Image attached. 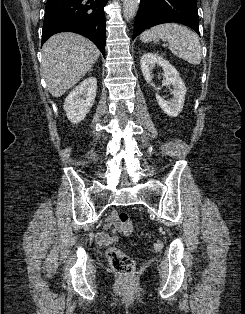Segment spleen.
Here are the masks:
<instances>
[{"instance_id":"obj_1","label":"spleen","mask_w":245,"mask_h":314,"mask_svg":"<svg viewBox=\"0 0 245 314\" xmlns=\"http://www.w3.org/2000/svg\"><path fill=\"white\" fill-rule=\"evenodd\" d=\"M155 39L167 41L170 51L178 58L192 65L202 59L199 37L191 30L176 23H165L151 27L140 35V40L149 42Z\"/></svg>"}]
</instances>
